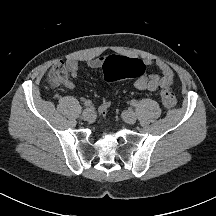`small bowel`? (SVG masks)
Instances as JSON below:
<instances>
[{"label":"small bowel","instance_id":"small-bowel-1","mask_svg":"<svg viewBox=\"0 0 216 216\" xmlns=\"http://www.w3.org/2000/svg\"><path fill=\"white\" fill-rule=\"evenodd\" d=\"M106 58L97 57L87 61V67L90 69L102 68L106 62ZM145 66L156 65L159 73H146L137 77L133 82V87L137 90H147L155 92L159 88L170 87L175 81V74L168 63L161 59L145 58L140 60ZM65 68L71 78L75 79L78 76V63L73 59L67 60ZM64 86L69 90L75 89V84L71 80H66Z\"/></svg>","mask_w":216,"mask_h":216}]
</instances>
